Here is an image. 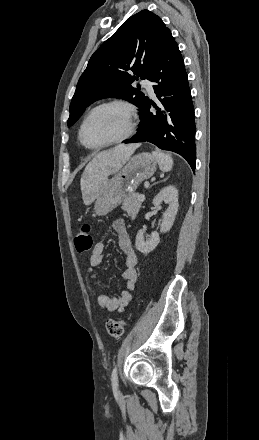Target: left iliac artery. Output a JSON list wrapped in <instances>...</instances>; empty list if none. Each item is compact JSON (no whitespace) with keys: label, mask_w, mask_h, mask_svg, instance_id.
<instances>
[{"label":"left iliac artery","mask_w":259,"mask_h":440,"mask_svg":"<svg viewBox=\"0 0 259 440\" xmlns=\"http://www.w3.org/2000/svg\"><path fill=\"white\" fill-rule=\"evenodd\" d=\"M111 381H112L113 388L116 389L118 387V376H117V367L116 366L113 368V371L111 374Z\"/></svg>","instance_id":"1"}]
</instances>
